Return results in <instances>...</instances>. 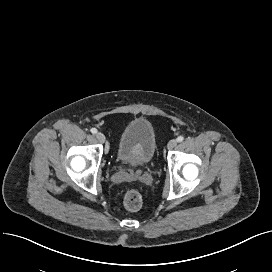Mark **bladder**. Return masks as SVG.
Segmentation results:
<instances>
[{
	"instance_id": "obj_1",
	"label": "bladder",
	"mask_w": 272,
	"mask_h": 272,
	"mask_svg": "<svg viewBox=\"0 0 272 272\" xmlns=\"http://www.w3.org/2000/svg\"><path fill=\"white\" fill-rule=\"evenodd\" d=\"M157 138L152 123L145 117L130 121L120 135L116 155L120 162L145 166L152 162Z\"/></svg>"
}]
</instances>
